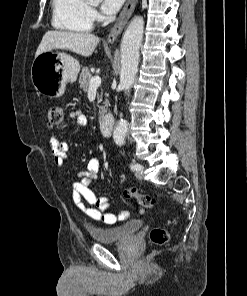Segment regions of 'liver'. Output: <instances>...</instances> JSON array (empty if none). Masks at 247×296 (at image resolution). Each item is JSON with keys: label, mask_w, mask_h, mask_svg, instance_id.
<instances>
[{"label": "liver", "mask_w": 247, "mask_h": 296, "mask_svg": "<svg viewBox=\"0 0 247 296\" xmlns=\"http://www.w3.org/2000/svg\"><path fill=\"white\" fill-rule=\"evenodd\" d=\"M100 39L91 33L48 31L42 38L35 56L53 49L68 50L84 57L94 52Z\"/></svg>", "instance_id": "liver-1"}]
</instances>
